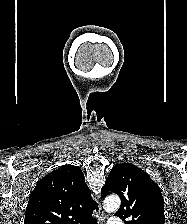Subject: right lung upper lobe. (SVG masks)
Here are the masks:
<instances>
[{
    "label": "right lung upper lobe",
    "mask_w": 187,
    "mask_h": 224,
    "mask_svg": "<svg viewBox=\"0 0 187 224\" xmlns=\"http://www.w3.org/2000/svg\"><path fill=\"white\" fill-rule=\"evenodd\" d=\"M92 199L83 172L63 165L43 177L31 192L24 224H93Z\"/></svg>",
    "instance_id": "right-lung-upper-lobe-1"
}]
</instances>
